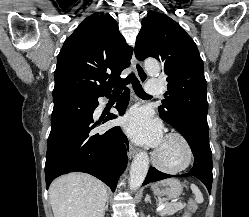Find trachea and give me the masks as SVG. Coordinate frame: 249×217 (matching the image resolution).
I'll list each match as a JSON object with an SVG mask.
<instances>
[{
    "label": "trachea",
    "mask_w": 249,
    "mask_h": 217,
    "mask_svg": "<svg viewBox=\"0 0 249 217\" xmlns=\"http://www.w3.org/2000/svg\"><path fill=\"white\" fill-rule=\"evenodd\" d=\"M132 81L133 84V88L135 93L139 96V97H149V95L143 90L140 82L138 81V79L135 77L134 73H131L123 82L121 85L116 86L113 89V94H120L122 92V86L129 84Z\"/></svg>",
    "instance_id": "1"
}]
</instances>
